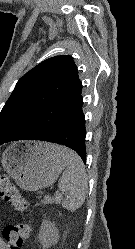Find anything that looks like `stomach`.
Instances as JSON below:
<instances>
[{"instance_id":"stomach-1","label":"stomach","mask_w":135,"mask_h":249,"mask_svg":"<svg viewBox=\"0 0 135 249\" xmlns=\"http://www.w3.org/2000/svg\"><path fill=\"white\" fill-rule=\"evenodd\" d=\"M44 142H19L0 155L3 168L21 189L36 191L53 184L65 168L64 161Z\"/></svg>"}]
</instances>
